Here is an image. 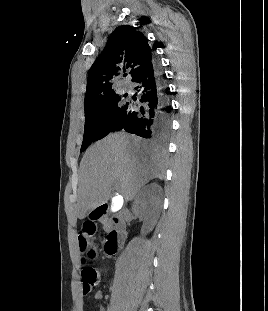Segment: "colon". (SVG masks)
<instances>
[{"label":"colon","mask_w":268,"mask_h":311,"mask_svg":"<svg viewBox=\"0 0 268 311\" xmlns=\"http://www.w3.org/2000/svg\"><path fill=\"white\" fill-rule=\"evenodd\" d=\"M96 233V227L93 223L84 224L79 235L80 250L83 254L82 262L86 264L88 261L95 260L98 257L99 249L93 241ZM106 252V251H105ZM107 253V252H106ZM108 254V253H107ZM83 290L88 293L99 282V274L96 269L85 266L82 270Z\"/></svg>","instance_id":"5ec220e1"}]
</instances>
